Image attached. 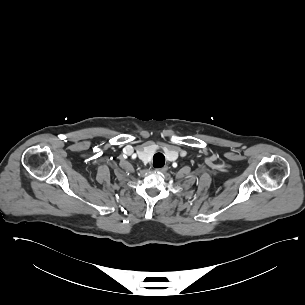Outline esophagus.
<instances>
[{"label":"esophagus","mask_w":305,"mask_h":305,"mask_svg":"<svg viewBox=\"0 0 305 305\" xmlns=\"http://www.w3.org/2000/svg\"><path fill=\"white\" fill-rule=\"evenodd\" d=\"M167 170H168V166H164V167H161V168H156L157 172H162V173L166 172Z\"/></svg>","instance_id":"34e87169"}]
</instances>
